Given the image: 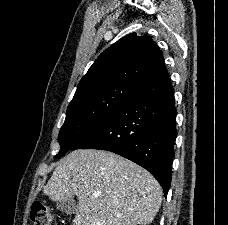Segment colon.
Masks as SVG:
<instances>
[{
    "instance_id": "1",
    "label": "colon",
    "mask_w": 228,
    "mask_h": 225,
    "mask_svg": "<svg viewBox=\"0 0 228 225\" xmlns=\"http://www.w3.org/2000/svg\"><path fill=\"white\" fill-rule=\"evenodd\" d=\"M31 222L33 225H54L53 212L43 202L35 201L31 208Z\"/></svg>"
}]
</instances>
